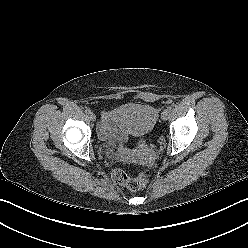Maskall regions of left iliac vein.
<instances>
[{"label": "left iliac vein", "instance_id": "left-iliac-vein-1", "mask_svg": "<svg viewBox=\"0 0 248 248\" xmlns=\"http://www.w3.org/2000/svg\"><path fill=\"white\" fill-rule=\"evenodd\" d=\"M169 113H170V111H169L168 109H165V110L162 112V114H161V118H162L163 120H167V118H168V116H169Z\"/></svg>", "mask_w": 248, "mask_h": 248}]
</instances>
